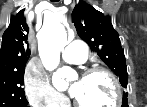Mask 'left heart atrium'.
I'll list each match as a JSON object with an SVG mask.
<instances>
[{"mask_svg":"<svg viewBox=\"0 0 147 107\" xmlns=\"http://www.w3.org/2000/svg\"><path fill=\"white\" fill-rule=\"evenodd\" d=\"M79 90V86L77 84H73V86L70 89V93L73 96H76Z\"/></svg>","mask_w":147,"mask_h":107,"instance_id":"left-heart-atrium-1","label":"left heart atrium"}]
</instances>
